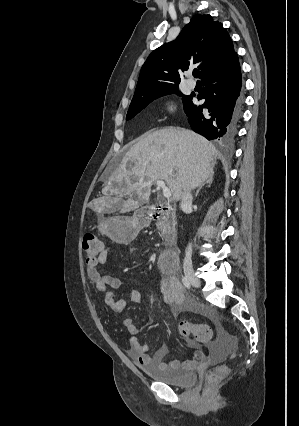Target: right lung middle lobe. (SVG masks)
<instances>
[{
	"mask_svg": "<svg viewBox=\"0 0 299 426\" xmlns=\"http://www.w3.org/2000/svg\"><path fill=\"white\" fill-rule=\"evenodd\" d=\"M173 93H176L179 96H183L182 99H183L184 107L187 106L189 102L191 101V96L183 95L181 92L178 91V87H173L160 92L151 93V94L145 95L144 97L140 99L131 101V104L129 106V110L126 116V120L133 118L136 114H138L143 108H145L154 99L164 95L173 94Z\"/></svg>",
	"mask_w": 299,
	"mask_h": 426,
	"instance_id": "dd1d6c3e",
	"label": "right lung middle lobe"
}]
</instances>
